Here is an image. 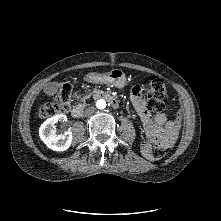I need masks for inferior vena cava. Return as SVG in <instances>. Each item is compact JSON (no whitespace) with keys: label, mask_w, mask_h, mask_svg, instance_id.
Here are the masks:
<instances>
[{"label":"inferior vena cava","mask_w":221,"mask_h":221,"mask_svg":"<svg viewBox=\"0 0 221 221\" xmlns=\"http://www.w3.org/2000/svg\"><path fill=\"white\" fill-rule=\"evenodd\" d=\"M95 112V108L94 107H89L87 108L84 113L83 116L87 117L90 116L91 114H93Z\"/></svg>","instance_id":"inferior-vena-cava-1"}]
</instances>
